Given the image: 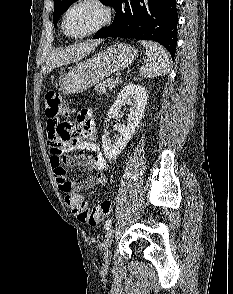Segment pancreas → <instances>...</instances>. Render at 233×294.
I'll use <instances>...</instances> for the list:
<instances>
[{
	"instance_id": "pancreas-1",
	"label": "pancreas",
	"mask_w": 233,
	"mask_h": 294,
	"mask_svg": "<svg viewBox=\"0 0 233 294\" xmlns=\"http://www.w3.org/2000/svg\"><path fill=\"white\" fill-rule=\"evenodd\" d=\"M118 85L117 81H114L112 78H108L106 80H103L101 82H99L98 84H96L95 86V90L99 93V94H104L106 92V89H113Z\"/></svg>"
}]
</instances>
